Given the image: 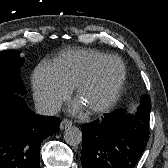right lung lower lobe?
<instances>
[{
	"label": "right lung lower lobe",
	"instance_id": "1",
	"mask_svg": "<svg viewBox=\"0 0 168 168\" xmlns=\"http://www.w3.org/2000/svg\"><path fill=\"white\" fill-rule=\"evenodd\" d=\"M59 124L34 114L19 94L0 90V168H39L41 143Z\"/></svg>",
	"mask_w": 168,
	"mask_h": 168
}]
</instances>
